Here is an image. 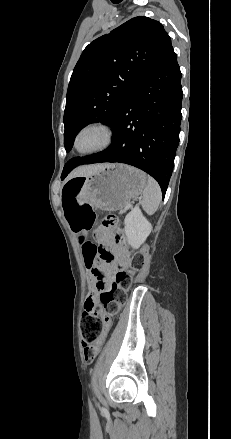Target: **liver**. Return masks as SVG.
<instances>
[{"label":"liver","mask_w":231,"mask_h":439,"mask_svg":"<svg viewBox=\"0 0 231 439\" xmlns=\"http://www.w3.org/2000/svg\"><path fill=\"white\" fill-rule=\"evenodd\" d=\"M108 164H95V165H88V166H82L74 169L67 177V180H70L74 177H83V176H89L93 174L94 172L103 169Z\"/></svg>","instance_id":"obj_1"}]
</instances>
